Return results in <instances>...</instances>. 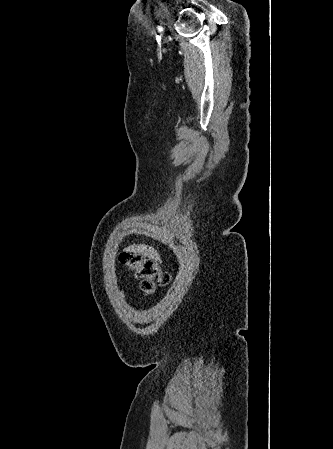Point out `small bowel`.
Wrapping results in <instances>:
<instances>
[{"mask_svg": "<svg viewBox=\"0 0 333 449\" xmlns=\"http://www.w3.org/2000/svg\"><path fill=\"white\" fill-rule=\"evenodd\" d=\"M118 295H119L120 301L124 303L126 300L125 292L123 290H120Z\"/></svg>", "mask_w": 333, "mask_h": 449, "instance_id": "small-bowel-1", "label": "small bowel"}]
</instances>
